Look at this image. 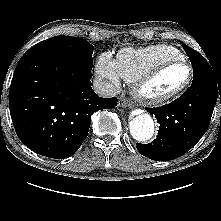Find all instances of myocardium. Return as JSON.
Returning a JSON list of instances; mask_svg holds the SVG:
<instances>
[{"mask_svg": "<svg viewBox=\"0 0 221 221\" xmlns=\"http://www.w3.org/2000/svg\"><path fill=\"white\" fill-rule=\"evenodd\" d=\"M184 65L189 70V75L187 80L179 88L162 95H152L148 92V87L157 79L167 69L177 66ZM194 78L193 66L184 59H175L166 61L151 71L140 77L134 82L132 87L133 95L143 104L148 106H162L170 103L171 101L182 95L191 85Z\"/></svg>", "mask_w": 221, "mask_h": 221, "instance_id": "myocardium-1", "label": "myocardium"}]
</instances>
